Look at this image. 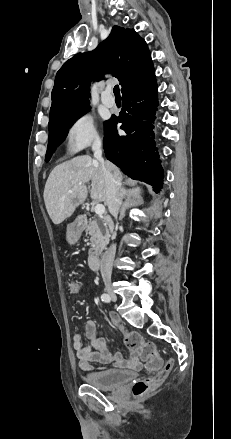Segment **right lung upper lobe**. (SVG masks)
<instances>
[{
  "instance_id": "right-lung-upper-lobe-1",
  "label": "right lung upper lobe",
  "mask_w": 231,
  "mask_h": 439,
  "mask_svg": "<svg viewBox=\"0 0 231 439\" xmlns=\"http://www.w3.org/2000/svg\"><path fill=\"white\" fill-rule=\"evenodd\" d=\"M111 73L122 94L154 73L146 42L131 29L114 26L108 38L92 52L79 53L57 72L52 90L49 127L89 108L90 82Z\"/></svg>"
}]
</instances>
